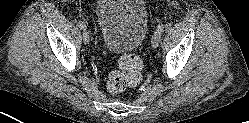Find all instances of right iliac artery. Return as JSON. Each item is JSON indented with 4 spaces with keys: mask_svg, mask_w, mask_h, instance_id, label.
<instances>
[{
    "mask_svg": "<svg viewBox=\"0 0 249 123\" xmlns=\"http://www.w3.org/2000/svg\"><path fill=\"white\" fill-rule=\"evenodd\" d=\"M78 26H79L81 29H86V28H87L85 22L82 21V20H79V21H78Z\"/></svg>",
    "mask_w": 249,
    "mask_h": 123,
    "instance_id": "right-iliac-artery-1",
    "label": "right iliac artery"
}]
</instances>
